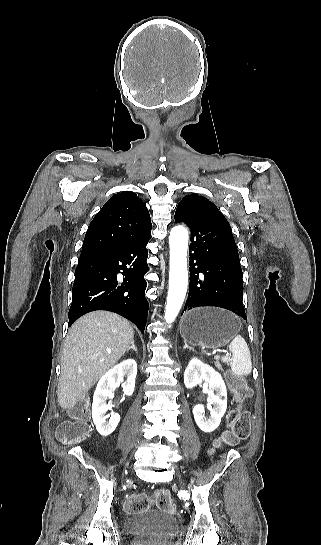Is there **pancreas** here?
I'll use <instances>...</instances> for the list:
<instances>
[{"instance_id": "obj_1", "label": "pancreas", "mask_w": 321, "mask_h": 545, "mask_svg": "<svg viewBox=\"0 0 321 545\" xmlns=\"http://www.w3.org/2000/svg\"><path fill=\"white\" fill-rule=\"evenodd\" d=\"M215 367H217V369H219V371H223L220 363H219V359H216L215 363H214Z\"/></svg>"}]
</instances>
